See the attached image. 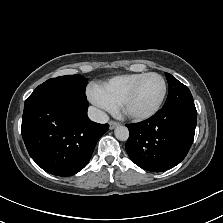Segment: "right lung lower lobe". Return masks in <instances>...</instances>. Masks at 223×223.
I'll use <instances>...</instances> for the list:
<instances>
[{
    "label": "right lung lower lobe",
    "mask_w": 223,
    "mask_h": 223,
    "mask_svg": "<svg viewBox=\"0 0 223 223\" xmlns=\"http://www.w3.org/2000/svg\"><path fill=\"white\" fill-rule=\"evenodd\" d=\"M88 101L67 97L24 106L22 137L29 155L46 172L70 176L89 162L108 124L92 122Z\"/></svg>",
    "instance_id": "98d812e1"
}]
</instances>
